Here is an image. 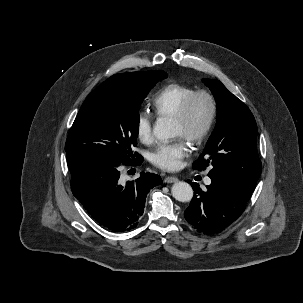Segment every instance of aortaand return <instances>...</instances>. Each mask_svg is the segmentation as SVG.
I'll use <instances>...</instances> for the list:
<instances>
[{
	"label": "aorta",
	"instance_id": "aorta-1",
	"mask_svg": "<svg viewBox=\"0 0 303 303\" xmlns=\"http://www.w3.org/2000/svg\"><path fill=\"white\" fill-rule=\"evenodd\" d=\"M154 136L159 140H166L176 136L174 124L166 118L158 119L154 128ZM172 196L180 202H189L193 198V189L187 182H176L171 189Z\"/></svg>",
	"mask_w": 303,
	"mask_h": 303
}]
</instances>
